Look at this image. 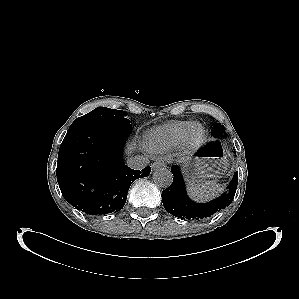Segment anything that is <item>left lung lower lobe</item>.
I'll return each mask as SVG.
<instances>
[{
	"mask_svg": "<svg viewBox=\"0 0 299 299\" xmlns=\"http://www.w3.org/2000/svg\"><path fill=\"white\" fill-rule=\"evenodd\" d=\"M174 175L172 184L162 192V201L167 212L181 219L200 220L207 218L214 213L229 206L234 199L238 172L228 185L229 192L224 193L214 201L199 204L189 199L186 193L185 184L177 165L171 167Z\"/></svg>",
	"mask_w": 299,
	"mask_h": 299,
	"instance_id": "1",
	"label": "left lung lower lobe"
}]
</instances>
